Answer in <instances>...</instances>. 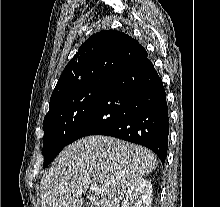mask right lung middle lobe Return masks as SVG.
<instances>
[{
    "label": "right lung middle lobe",
    "instance_id": "dd1d6c3e",
    "mask_svg": "<svg viewBox=\"0 0 220 207\" xmlns=\"http://www.w3.org/2000/svg\"><path fill=\"white\" fill-rule=\"evenodd\" d=\"M107 81H97L50 100L43 124L44 168L70 143L71 135L92 111Z\"/></svg>",
    "mask_w": 220,
    "mask_h": 207
}]
</instances>
